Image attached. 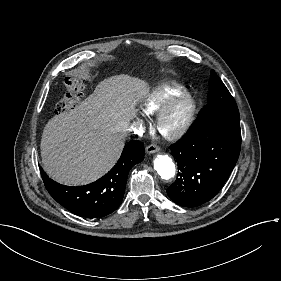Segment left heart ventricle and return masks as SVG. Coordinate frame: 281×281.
<instances>
[{
	"label": "left heart ventricle",
	"instance_id": "left-heart-ventricle-1",
	"mask_svg": "<svg viewBox=\"0 0 281 281\" xmlns=\"http://www.w3.org/2000/svg\"><path fill=\"white\" fill-rule=\"evenodd\" d=\"M187 106L186 103H181L178 106H176L170 113L167 121L166 126L168 128L174 127L178 123L181 122V120L184 118L186 114Z\"/></svg>",
	"mask_w": 281,
	"mask_h": 281
}]
</instances>
